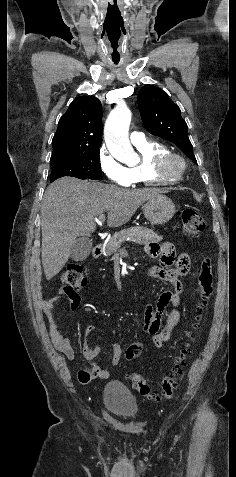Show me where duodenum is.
<instances>
[{
	"mask_svg": "<svg viewBox=\"0 0 236 477\" xmlns=\"http://www.w3.org/2000/svg\"><path fill=\"white\" fill-rule=\"evenodd\" d=\"M103 250V243H97L94 248H93V255L95 257L99 256L102 253Z\"/></svg>",
	"mask_w": 236,
	"mask_h": 477,
	"instance_id": "1",
	"label": "duodenum"
}]
</instances>
